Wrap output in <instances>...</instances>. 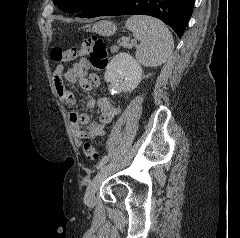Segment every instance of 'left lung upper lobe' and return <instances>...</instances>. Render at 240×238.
<instances>
[{
    "instance_id": "1",
    "label": "left lung upper lobe",
    "mask_w": 240,
    "mask_h": 238,
    "mask_svg": "<svg viewBox=\"0 0 240 238\" xmlns=\"http://www.w3.org/2000/svg\"><path fill=\"white\" fill-rule=\"evenodd\" d=\"M92 0H54L61 10L69 13L81 12Z\"/></svg>"
}]
</instances>
